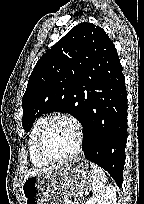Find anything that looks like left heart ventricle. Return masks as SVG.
I'll return each mask as SVG.
<instances>
[{
	"instance_id": "obj_1",
	"label": "left heart ventricle",
	"mask_w": 144,
	"mask_h": 204,
	"mask_svg": "<svg viewBox=\"0 0 144 204\" xmlns=\"http://www.w3.org/2000/svg\"><path fill=\"white\" fill-rule=\"evenodd\" d=\"M76 144V132L72 124L67 121H55L49 127L43 147L52 157H63L70 154Z\"/></svg>"
}]
</instances>
